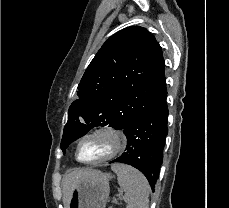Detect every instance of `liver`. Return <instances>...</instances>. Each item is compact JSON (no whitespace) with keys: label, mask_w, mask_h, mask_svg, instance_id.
I'll return each instance as SVG.
<instances>
[{"label":"liver","mask_w":229,"mask_h":208,"mask_svg":"<svg viewBox=\"0 0 229 208\" xmlns=\"http://www.w3.org/2000/svg\"><path fill=\"white\" fill-rule=\"evenodd\" d=\"M102 172L99 170H92V168H86V170H81V168H75L74 172H70L64 178V196L63 204L64 208H69L70 196L77 184L84 182V180H95V178H100Z\"/></svg>","instance_id":"liver-1"}]
</instances>
